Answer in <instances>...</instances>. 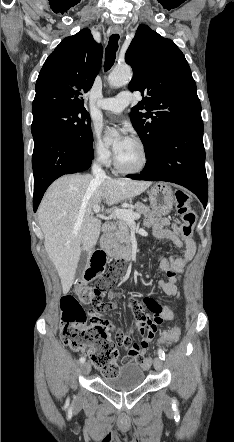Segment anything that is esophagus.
<instances>
[{"instance_id": "obj_1", "label": "esophagus", "mask_w": 234, "mask_h": 442, "mask_svg": "<svg viewBox=\"0 0 234 442\" xmlns=\"http://www.w3.org/2000/svg\"><path fill=\"white\" fill-rule=\"evenodd\" d=\"M120 31L118 29H113L112 33H119Z\"/></svg>"}]
</instances>
